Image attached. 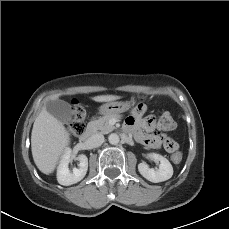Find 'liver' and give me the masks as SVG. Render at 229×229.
<instances>
[{
	"instance_id": "6515ba94",
	"label": "liver",
	"mask_w": 229,
	"mask_h": 229,
	"mask_svg": "<svg viewBox=\"0 0 229 229\" xmlns=\"http://www.w3.org/2000/svg\"><path fill=\"white\" fill-rule=\"evenodd\" d=\"M58 97L59 94H54L48 99L56 100ZM117 99H120V96L92 97V100L96 102H112ZM69 144L70 137L62 122L43 107L35 119L31 133L32 156L38 169L44 174L52 173Z\"/></svg>"
}]
</instances>
